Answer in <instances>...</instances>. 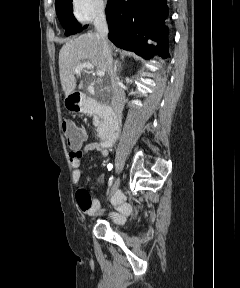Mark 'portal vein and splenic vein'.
Here are the masks:
<instances>
[{
	"instance_id": "obj_1",
	"label": "portal vein and splenic vein",
	"mask_w": 240,
	"mask_h": 288,
	"mask_svg": "<svg viewBox=\"0 0 240 288\" xmlns=\"http://www.w3.org/2000/svg\"><path fill=\"white\" fill-rule=\"evenodd\" d=\"M90 69V70H93L94 69V65L90 62H83L81 63L80 65H78L75 69V73L76 74H80L81 71L83 69ZM105 73L103 71H97V76L99 77H104Z\"/></svg>"
}]
</instances>
